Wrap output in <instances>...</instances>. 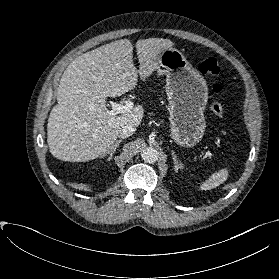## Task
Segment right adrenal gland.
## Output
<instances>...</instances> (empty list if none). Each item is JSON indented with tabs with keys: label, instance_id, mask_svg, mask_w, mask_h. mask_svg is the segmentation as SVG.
Instances as JSON below:
<instances>
[{
	"label": "right adrenal gland",
	"instance_id": "2a0ac1e0",
	"mask_svg": "<svg viewBox=\"0 0 279 279\" xmlns=\"http://www.w3.org/2000/svg\"><path fill=\"white\" fill-rule=\"evenodd\" d=\"M122 140H117L115 142L114 145L111 146V148L106 152V154L104 156H106L107 154H109V157L107 159V161H110L114 155V153L116 152V149L119 147V145L121 144Z\"/></svg>",
	"mask_w": 279,
	"mask_h": 279
}]
</instances>
